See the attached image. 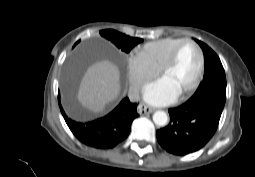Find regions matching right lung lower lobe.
Returning a JSON list of instances; mask_svg holds the SVG:
<instances>
[{
    "label": "right lung lower lobe",
    "instance_id": "right-lung-lower-lobe-1",
    "mask_svg": "<svg viewBox=\"0 0 255 177\" xmlns=\"http://www.w3.org/2000/svg\"><path fill=\"white\" fill-rule=\"evenodd\" d=\"M61 113L75 137L83 144L97 149H111L126 139L131 130L132 121L138 117L137 104L128 98L108 115L91 122H76L68 118L60 104Z\"/></svg>",
    "mask_w": 255,
    "mask_h": 177
}]
</instances>
